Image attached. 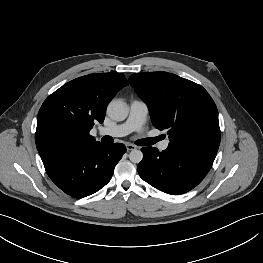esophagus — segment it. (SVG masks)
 Wrapping results in <instances>:
<instances>
[{
  "label": "esophagus",
  "mask_w": 263,
  "mask_h": 263,
  "mask_svg": "<svg viewBox=\"0 0 263 263\" xmlns=\"http://www.w3.org/2000/svg\"><path fill=\"white\" fill-rule=\"evenodd\" d=\"M127 151L135 150L137 147L133 144H127L126 145Z\"/></svg>",
  "instance_id": "34e87169"
}]
</instances>
